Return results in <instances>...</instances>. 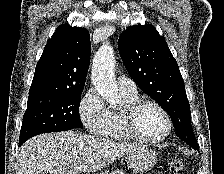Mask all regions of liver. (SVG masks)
I'll use <instances>...</instances> for the list:
<instances>
[{"label": "liver", "mask_w": 224, "mask_h": 174, "mask_svg": "<svg viewBox=\"0 0 224 174\" xmlns=\"http://www.w3.org/2000/svg\"><path fill=\"white\" fill-rule=\"evenodd\" d=\"M139 146L72 131L42 134L21 146L18 174L93 173Z\"/></svg>", "instance_id": "1"}]
</instances>
